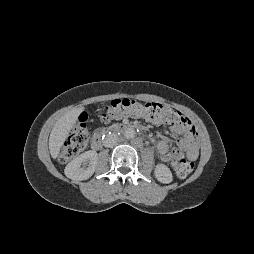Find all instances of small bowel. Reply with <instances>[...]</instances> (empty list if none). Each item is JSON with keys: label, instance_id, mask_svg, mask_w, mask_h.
Wrapping results in <instances>:
<instances>
[{"label": "small bowel", "instance_id": "small-bowel-1", "mask_svg": "<svg viewBox=\"0 0 254 254\" xmlns=\"http://www.w3.org/2000/svg\"><path fill=\"white\" fill-rule=\"evenodd\" d=\"M171 130L175 134L183 135V137L177 140L178 148L174 150H170V139L167 137L162 138L157 144L161 159L165 162H174L186 156L190 161L196 160L198 146L194 136L195 128L191 122L186 125H173Z\"/></svg>", "mask_w": 254, "mask_h": 254}]
</instances>
